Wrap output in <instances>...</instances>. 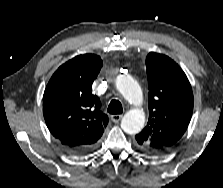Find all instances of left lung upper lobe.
<instances>
[{"instance_id":"left-lung-upper-lobe-1","label":"left lung upper lobe","mask_w":223,"mask_h":188,"mask_svg":"<svg viewBox=\"0 0 223 188\" xmlns=\"http://www.w3.org/2000/svg\"><path fill=\"white\" fill-rule=\"evenodd\" d=\"M146 67L149 120L135 139L143 150L157 154L168 151L185 133L194 100L187 76L171 58L151 52Z\"/></svg>"}]
</instances>
